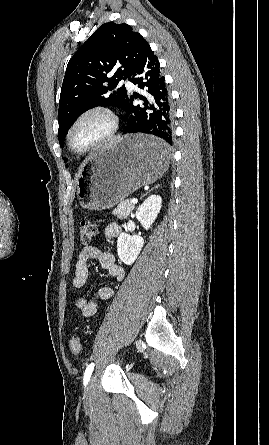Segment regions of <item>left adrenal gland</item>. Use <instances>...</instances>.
<instances>
[{"instance_id": "left-adrenal-gland-1", "label": "left adrenal gland", "mask_w": 269, "mask_h": 445, "mask_svg": "<svg viewBox=\"0 0 269 445\" xmlns=\"http://www.w3.org/2000/svg\"><path fill=\"white\" fill-rule=\"evenodd\" d=\"M158 188V186H155L154 188H151L145 195H147L149 192H151L152 190Z\"/></svg>"}]
</instances>
